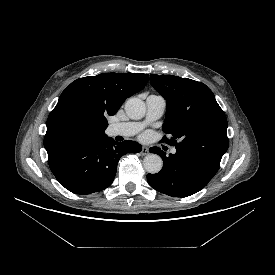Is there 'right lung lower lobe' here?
Segmentation results:
<instances>
[{
  "mask_svg": "<svg viewBox=\"0 0 275 275\" xmlns=\"http://www.w3.org/2000/svg\"><path fill=\"white\" fill-rule=\"evenodd\" d=\"M141 150L135 141L119 143L104 137L47 153L50 169L60 184L73 193L87 195L110 186L119 159L126 153Z\"/></svg>",
  "mask_w": 275,
  "mask_h": 275,
  "instance_id": "98d812e1",
  "label": "right lung lower lobe"
}]
</instances>
